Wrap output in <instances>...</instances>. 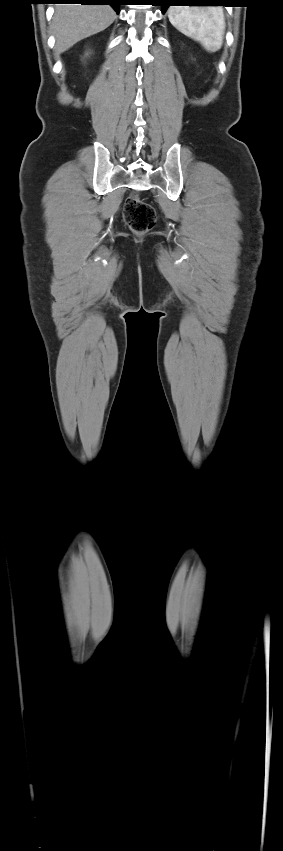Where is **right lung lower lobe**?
<instances>
[{
  "instance_id": "1",
  "label": "right lung lower lobe",
  "mask_w": 283,
  "mask_h": 851,
  "mask_svg": "<svg viewBox=\"0 0 283 851\" xmlns=\"http://www.w3.org/2000/svg\"><path fill=\"white\" fill-rule=\"evenodd\" d=\"M122 0H48L47 3H74L82 5H111L119 13V5Z\"/></svg>"
}]
</instances>
